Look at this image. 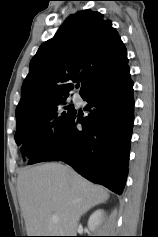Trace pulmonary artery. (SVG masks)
<instances>
[{
  "label": "pulmonary artery",
  "instance_id": "1",
  "mask_svg": "<svg viewBox=\"0 0 158 237\" xmlns=\"http://www.w3.org/2000/svg\"><path fill=\"white\" fill-rule=\"evenodd\" d=\"M74 100L77 101V98L75 97Z\"/></svg>",
  "mask_w": 158,
  "mask_h": 237
}]
</instances>
